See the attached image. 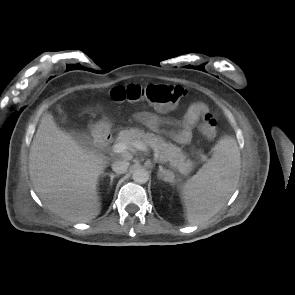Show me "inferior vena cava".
<instances>
[{"instance_id": "inferior-vena-cava-1", "label": "inferior vena cava", "mask_w": 295, "mask_h": 295, "mask_svg": "<svg viewBox=\"0 0 295 295\" xmlns=\"http://www.w3.org/2000/svg\"><path fill=\"white\" fill-rule=\"evenodd\" d=\"M128 167H129V162L126 161V160L115 161L112 164L113 171L116 172V173H118V174H124V173H126Z\"/></svg>"}]
</instances>
